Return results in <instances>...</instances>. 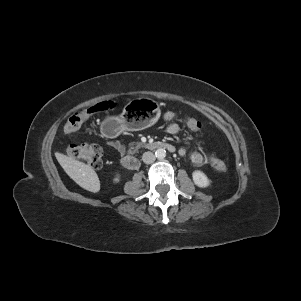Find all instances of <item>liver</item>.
<instances>
[{"label": "liver", "instance_id": "6515ba94", "mask_svg": "<svg viewBox=\"0 0 301 301\" xmlns=\"http://www.w3.org/2000/svg\"><path fill=\"white\" fill-rule=\"evenodd\" d=\"M55 156L64 171L79 186L93 193L100 190L98 175L90 166L59 152H56Z\"/></svg>", "mask_w": 301, "mask_h": 301}]
</instances>
